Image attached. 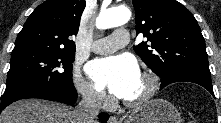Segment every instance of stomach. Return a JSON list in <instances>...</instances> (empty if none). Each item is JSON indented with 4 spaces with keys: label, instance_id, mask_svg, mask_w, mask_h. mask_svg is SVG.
Masks as SVG:
<instances>
[{
    "label": "stomach",
    "instance_id": "stomach-1",
    "mask_svg": "<svg viewBox=\"0 0 221 123\" xmlns=\"http://www.w3.org/2000/svg\"><path fill=\"white\" fill-rule=\"evenodd\" d=\"M125 123H182V119L170 102L152 99L135 108Z\"/></svg>",
    "mask_w": 221,
    "mask_h": 123
}]
</instances>
